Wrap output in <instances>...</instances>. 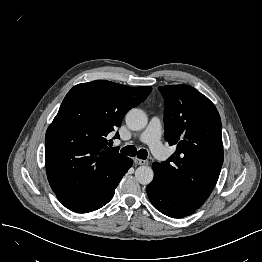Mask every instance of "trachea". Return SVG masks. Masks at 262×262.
<instances>
[{
	"instance_id": "obj_1",
	"label": "trachea",
	"mask_w": 262,
	"mask_h": 262,
	"mask_svg": "<svg viewBox=\"0 0 262 262\" xmlns=\"http://www.w3.org/2000/svg\"><path fill=\"white\" fill-rule=\"evenodd\" d=\"M121 153L131 157H135L137 155V157L140 159H146L148 156V152L145 149H140L137 151L133 145L123 147L121 149Z\"/></svg>"
}]
</instances>
